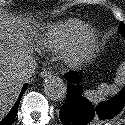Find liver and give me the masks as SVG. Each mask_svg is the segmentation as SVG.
Listing matches in <instances>:
<instances>
[{
  "label": "liver",
  "mask_w": 125,
  "mask_h": 125,
  "mask_svg": "<svg viewBox=\"0 0 125 125\" xmlns=\"http://www.w3.org/2000/svg\"><path fill=\"white\" fill-rule=\"evenodd\" d=\"M10 22L0 17V120L16 100L24 81L19 79L24 54L12 44Z\"/></svg>",
  "instance_id": "6515ba94"
}]
</instances>
